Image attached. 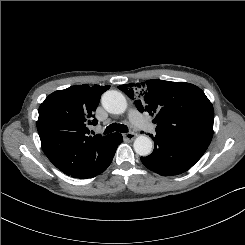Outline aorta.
<instances>
[{"label":"aorta","instance_id":"1","mask_svg":"<svg viewBox=\"0 0 245 245\" xmlns=\"http://www.w3.org/2000/svg\"><path fill=\"white\" fill-rule=\"evenodd\" d=\"M104 109L112 114H122L126 111L127 102L124 95L116 90L106 91L101 98ZM134 151L140 156H147L152 152V141L146 135H139L133 144Z\"/></svg>","mask_w":245,"mask_h":245}]
</instances>
